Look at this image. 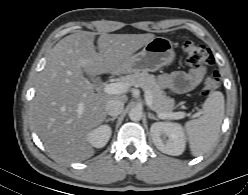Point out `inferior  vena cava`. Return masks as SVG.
<instances>
[{"instance_id": "602c4592", "label": "inferior vena cava", "mask_w": 248, "mask_h": 195, "mask_svg": "<svg viewBox=\"0 0 248 195\" xmlns=\"http://www.w3.org/2000/svg\"><path fill=\"white\" fill-rule=\"evenodd\" d=\"M124 108V103L118 99L109 100L106 103L105 110L106 113L110 116L119 115Z\"/></svg>"}]
</instances>
